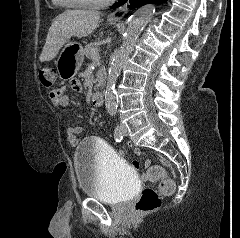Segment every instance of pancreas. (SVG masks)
I'll return each mask as SVG.
<instances>
[{"label": "pancreas", "mask_w": 240, "mask_h": 238, "mask_svg": "<svg viewBox=\"0 0 240 238\" xmlns=\"http://www.w3.org/2000/svg\"><path fill=\"white\" fill-rule=\"evenodd\" d=\"M93 52H99V47L97 45V43H89L85 46L84 48V54L88 59H92L93 60V56L92 53ZM94 64H98L97 62H94ZM105 73V68L101 67L100 70L97 72V79L96 82H98V84L95 86L94 89H98L100 86V79L103 77Z\"/></svg>", "instance_id": "1"}]
</instances>
